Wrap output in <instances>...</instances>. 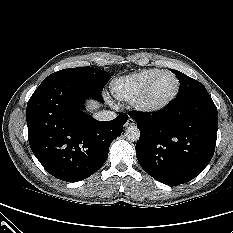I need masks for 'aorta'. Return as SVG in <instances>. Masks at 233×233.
I'll return each instance as SVG.
<instances>
[{"label":"aorta","mask_w":233,"mask_h":233,"mask_svg":"<svg viewBox=\"0 0 233 233\" xmlns=\"http://www.w3.org/2000/svg\"><path fill=\"white\" fill-rule=\"evenodd\" d=\"M124 136L128 141L135 142L140 137V131L136 126L130 125L126 128Z\"/></svg>","instance_id":"aorta-1"}]
</instances>
